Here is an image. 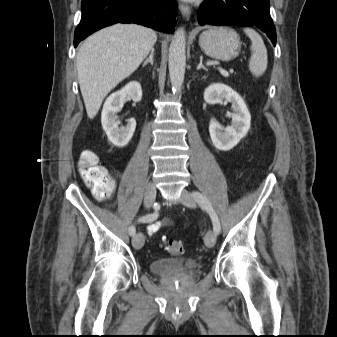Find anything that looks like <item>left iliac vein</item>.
Returning a JSON list of instances; mask_svg holds the SVG:
<instances>
[{"label": "left iliac vein", "mask_w": 337, "mask_h": 337, "mask_svg": "<svg viewBox=\"0 0 337 337\" xmlns=\"http://www.w3.org/2000/svg\"><path fill=\"white\" fill-rule=\"evenodd\" d=\"M181 202L190 208H194L196 206V202L191 193L187 190H182L181 192ZM205 245L209 248L214 247L216 243V234L212 230L208 231L204 238Z\"/></svg>", "instance_id": "1"}]
</instances>
